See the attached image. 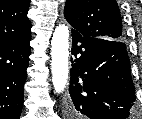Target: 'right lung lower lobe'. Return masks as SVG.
<instances>
[{"instance_id":"1","label":"right lung lower lobe","mask_w":142,"mask_h":119,"mask_svg":"<svg viewBox=\"0 0 142 119\" xmlns=\"http://www.w3.org/2000/svg\"><path fill=\"white\" fill-rule=\"evenodd\" d=\"M31 34L0 45V119H20Z\"/></svg>"}]
</instances>
